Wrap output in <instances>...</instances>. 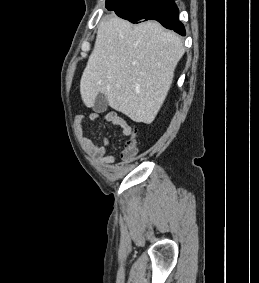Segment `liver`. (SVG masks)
Instances as JSON below:
<instances>
[{"label": "liver", "instance_id": "obj_1", "mask_svg": "<svg viewBox=\"0 0 259 283\" xmlns=\"http://www.w3.org/2000/svg\"><path fill=\"white\" fill-rule=\"evenodd\" d=\"M184 54L183 40L155 21L138 25L103 19L80 81L86 107L101 93L111 108L150 124L159 112Z\"/></svg>", "mask_w": 259, "mask_h": 283}]
</instances>
